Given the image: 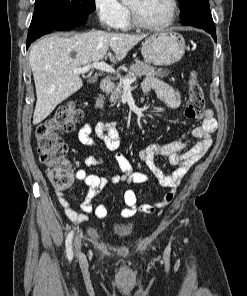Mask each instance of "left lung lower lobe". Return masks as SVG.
<instances>
[{"mask_svg": "<svg viewBox=\"0 0 247 296\" xmlns=\"http://www.w3.org/2000/svg\"><path fill=\"white\" fill-rule=\"evenodd\" d=\"M182 25L201 28L210 33L215 42L217 40L215 24L213 22L209 7L200 8L199 10L187 16L183 19Z\"/></svg>", "mask_w": 247, "mask_h": 296, "instance_id": "1", "label": "left lung lower lobe"}]
</instances>
